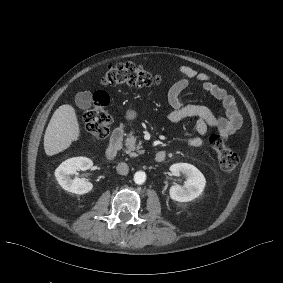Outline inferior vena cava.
<instances>
[{
  "label": "inferior vena cava",
  "instance_id": "obj_1",
  "mask_svg": "<svg viewBox=\"0 0 283 283\" xmlns=\"http://www.w3.org/2000/svg\"><path fill=\"white\" fill-rule=\"evenodd\" d=\"M116 169H117V172L121 175H126L129 171V167L127 163L125 162L118 163Z\"/></svg>",
  "mask_w": 283,
  "mask_h": 283
}]
</instances>
